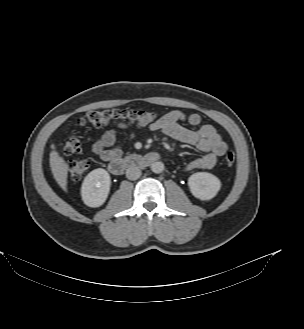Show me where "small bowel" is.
<instances>
[{
  "mask_svg": "<svg viewBox=\"0 0 304 329\" xmlns=\"http://www.w3.org/2000/svg\"><path fill=\"white\" fill-rule=\"evenodd\" d=\"M183 122L196 128H186L182 125ZM148 126L151 130L161 131L164 135L175 141L195 146L203 153L201 157L193 159L186 164V171L213 168L228 148L226 142L221 138L214 126L211 124H202V118L198 113L185 114L178 109L171 110ZM127 128V124L117 125V129L120 130ZM117 129L105 131L92 144L93 152L103 161L108 162L118 159L123 153L124 143L118 141Z\"/></svg>",
  "mask_w": 304,
  "mask_h": 329,
  "instance_id": "1",
  "label": "small bowel"
}]
</instances>
